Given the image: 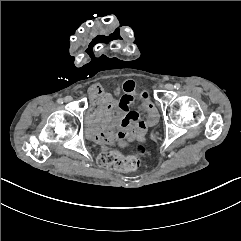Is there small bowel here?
Listing matches in <instances>:
<instances>
[{"label":"small bowel","mask_w":241,"mask_h":241,"mask_svg":"<svg viewBox=\"0 0 241 241\" xmlns=\"http://www.w3.org/2000/svg\"><path fill=\"white\" fill-rule=\"evenodd\" d=\"M136 85L127 80L123 84V95L117 102L115 98L93 85L90 90L92 101L93 126L89 137L99 144L125 147L138 141L145 142L148 128L158 123L159 115L151 95L141 90V106L132 108Z\"/></svg>","instance_id":"small-bowel-1"}]
</instances>
